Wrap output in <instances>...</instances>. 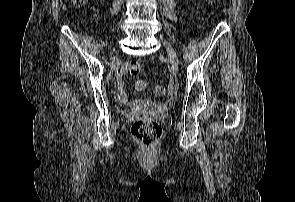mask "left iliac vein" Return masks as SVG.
Returning a JSON list of instances; mask_svg holds the SVG:
<instances>
[{
	"instance_id": "obj_1",
	"label": "left iliac vein",
	"mask_w": 295,
	"mask_h": 202,
	"mask_svg": "<svg viewBox=\"0 0 295 202\" xmlns=\"http://www.w3.org/2000/svg\"><path fill=\"white\" fill-rule=\"evenodd\" d=\"M162 42L166 48V51H167V54H168L171 64L175 67L178 66L179 60H178L177 54L174 51L173 47L171 46V44L169 42H167L164 39H162Z\"/></svg>"
}]
</instances>
